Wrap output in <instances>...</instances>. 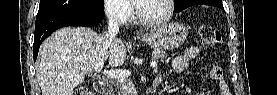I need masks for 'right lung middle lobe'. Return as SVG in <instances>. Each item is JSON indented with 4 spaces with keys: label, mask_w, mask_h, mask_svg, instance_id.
<instances>
[{
    "label": "right lung middle lobe",
    "mask_w": 277,
    "mask_h": 95,
    "mask_svg": "<svg viewBox=\"0 0 277 95\" xmlns=\"http://www.w3.org/2000/svg\"><path fill=\"white\" fill-rule=\"evenodd\" d=\"M103 6V0H40L37 18L61 13L104 12Z\"/></svg>",
    "instance_id": "obj_1"
}]
</instances>
